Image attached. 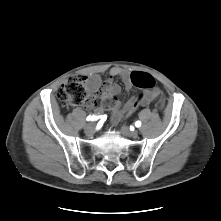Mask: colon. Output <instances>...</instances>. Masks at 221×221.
<instances>
[{
    "instance_id": "colon-1",
    "label": "colon",
    "mask_w": 221,
    "mask_h": 221,
    "mask_svg": "<svg viewBox=\"0 0 221 221\" xmlns=\"http://www.w3.org/2000/svg\"><path fill=\"white\" fill-rule=\"evenodd\" d=\"M132 81L135 86L142 89H151L155 85L154 79L148 74L134 73ZM141 96L142 94L138 98L140 99ZM57 99L62 106L90 104L91 100L88 99L85 79L81 76L70 78L58 91Z\"/></svg>"
}]
</instances>
